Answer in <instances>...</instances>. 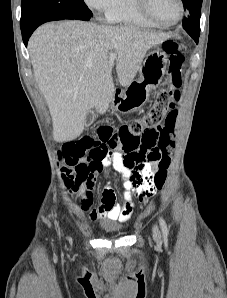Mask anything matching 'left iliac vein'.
Masks as SVG:
<instances>
[{
    "mask_svg": "<svg viewBox=\"0 0 227 298\" xmlns=\"http://www.w3.org/2000/svg\"><path fill=\"white\" fill-rule=\"evenodd\" d=\"M153 238L156 240V241H159L160 238H161V234H160V231L158 229L157 226H154L153 227Z\"/></svg>",
    "mask_w": 227,
    "mask_h": 298,
    "instance_id": "4c4485c4",
    "label": "left iliac vein"
}]
</instances>
